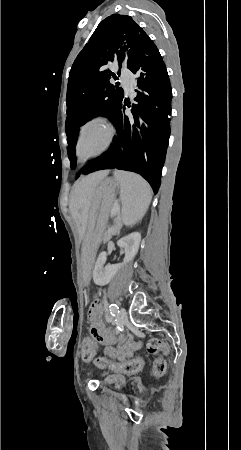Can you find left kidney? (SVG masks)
Segmentation results:
<instances>
[{
  "label": "left kidney",
  "mask_w": 241,
  "mask_h": 450,
  "mask_svg": "<svg viewBox=\"0 0 241 450\" xmlns=\"http://www.w3.org/2000/svg\"><path fill=\"white\" fill-rule=\"evenodd\" d=\"M141 242V234L139 232H133V234H129V236H125V238H121L118 240L117 244L120 248H124L125 250V258L123 264H115V266H105L107 254L106 252H101L98 256V260L95 264V268L93 270V280L97 286H106L109 284L110 280L114 278L115 274H117L118 270L127 264V262H131L133 258H135L139 246Z\"/></svg>",
  "instance_id": "1"
}]
</instances>
